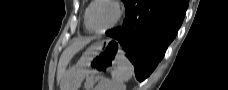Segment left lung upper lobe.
I'll return each mask as SVG.
<instances>
[{"label": "left lung upper lobe", "instance_id": "obj_1", "mask_svg": "<svg viewBox=\"0 0 228 90\" xmlns=\"http://www.w3.org/2000/svg\"><path fill=\"white\" fill-rule=\"evenodd\" d=\"M122 1H123V2H124V4L126 5V3H127V1H128V0H122Z\"/></svg>", "mask_w": 228, "mask_h": 90}]
</instances>
